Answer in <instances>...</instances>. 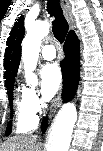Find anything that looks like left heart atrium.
Returning a JSON list of instances; mask_svg holds the SVG:
<instances>
[{
	"instance_id": "left-heart-atrium-1",
	"label": "left heart atrium",
	"mask_w": 103,
	"mask_h": 151,
	"mask_svg": "<svg viewBox=\"0 0 103 151\" xmlns=\"http://www.w3.org/2000/svg\"><path fill=\"white\" fill-rule=\"evenodd\" d=\"M62 83V74L56 64L44 66L41 72V94L45 101L51 100L58 92Z\"/></svg>"
}]
</instances>
